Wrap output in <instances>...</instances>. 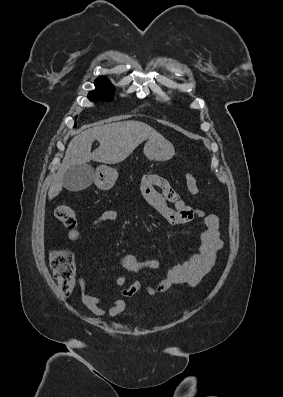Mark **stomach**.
<instances>
[{"instance_id":"1","label":"stomach","mask_w":283,"mask_h":397,"mask_svg":"<svg viewBox=\"0 0 283 397\" xmlns=\"http://www.w3.org/2000/svg\"><path fill=\"white\" fill-rule=\"evenodd\" d=\"M175 150L171 142L166 139H149L144 146V154L150 160L167 161L172 158ZM95 184L102 190L112 188L118 178L115 169L101 165L97 167L95 174Z\"/></svg>"}]
</instances>
